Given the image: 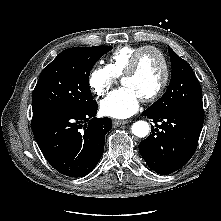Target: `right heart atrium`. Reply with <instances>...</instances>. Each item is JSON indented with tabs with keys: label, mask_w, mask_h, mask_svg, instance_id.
I'll list each match as a JSON object with an SVG mask.
<instances>
[{
	"label": "right heart atrium",
	"mask_w": 221,
	"mask_h": 221,
	"mask_svg": "<svg viewBox=\"0 0 221 221\" xmlns=\"http://www.w3.org/2000/svg\"><path fill=\"white\" fill-rule=\"evenodd\" d=\"M115 81V76L105 67H95L88 76V85L97 96L105 95Z\"/></svg>",
	"instance_id": "1"
}]
</instances>
